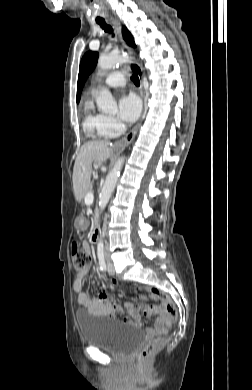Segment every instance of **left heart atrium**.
Wrapping results in <instances>:
<instances>
[{
    "instance_id": "1",
    "label": "left heart atrium",
    "mask_w": 252,
    "mask_h": 390,
    "mask_svg": "<svg viewBox=\"0 0 252 390\" xmlns=\"http://www.w3.org/2000/svg\"><path fill=\"white\" fill-rule=\"evenodd\" d=\"M141 112V102L139 98L132 93L124 94L118 101V116L126 122H134Z\"/></svg>"
}]
</instances>
